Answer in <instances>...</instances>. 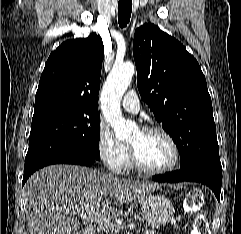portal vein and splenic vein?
<instances>
[{
	"instance_id": "1",
	"label": "portal vein and splenic vein",
	"mask_w": 241,
	"mask_h": 234,
	"mask_svg": "<svg viewBox=\"0 0 241 234\" xmlns=\"http://www.w3.org/2000/svg\"><path fill=\"white\" fill-rule=\"evenodd\" d=\"M98 207V205L96 206ZM84 219H87L91 222H94L102 227H105L107 229H110L112 231H116L117 229H119V227L113 223L109 218H107L106 216L100 214V213H96V214H91V213H87L85 215L82 216Z\"/></svg>"
}]
</instances>
